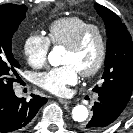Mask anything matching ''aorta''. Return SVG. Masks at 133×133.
Here are the masks:
<instances>
[{"label": "aorta", "instance_id": "1", "mask_svg": "<svg viewBox=\"0 0 133 133\" xmlns=\"http://www.w3.org/2000/svg\"><path fill=\"white\" fill-rule=\"evenodd\" d=\"M49 63L52 66H59L61 63L60 49L54 48L48 55ZM89 111L84 105H77L72 110V118L75 122L83 123L88 119Z\"/></svg>", "mask_w": 133, "mask_h": 133}]
</instances>
